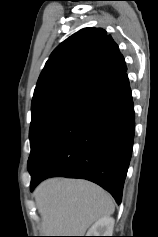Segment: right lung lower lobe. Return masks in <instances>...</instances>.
<instances>
[{"instance_id":"right-lung-lower-lobe-1","label":"right lung lower lobe","mask_w":158,"mask_h":237,"mask_svg":"<svg viewBox=\"0 0 158 237\" xmlns=\"http://www.w3.org/2000/svg\"><path fill=\"white\" fill-rule=\"evenodd\" d=\"M134 129L125 73L88 98L42 140L28 165L31 191L48 177L82 178L106 189L120 204Z\"/></svg>"}]
</instances>
